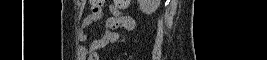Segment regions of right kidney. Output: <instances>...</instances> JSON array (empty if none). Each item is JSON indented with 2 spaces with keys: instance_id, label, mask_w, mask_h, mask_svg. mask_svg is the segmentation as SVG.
Here are the masks:
<instances>
[{
  "instance_id": "right-kidney-1",
  "label": "right kidney",
  "mask_w": 267,
  "mask_h": 60,
  "mask_svg": "<svg viewBox=\"0 0 267 60\" xmlns=\"http://www.w3.org/2000/svg\"><path fill=\"white\" fill-rule=\"evenodd\" d=\"M160 1L161 0H138L139 8L143 13L150 15L158 9Z\"/></svg>"
}]
</instances>
